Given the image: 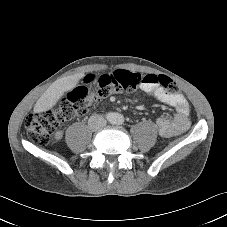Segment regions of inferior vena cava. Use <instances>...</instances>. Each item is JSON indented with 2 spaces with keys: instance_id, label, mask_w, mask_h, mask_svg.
<instances>
[{
  "instance_id": "602c4592",
  "label": "inferior vena cava",
  "mask_w": 227,
  "mask_h": 227,
  "mask_svg": "<svg viewBox=\"0 0 227 227\" xmlns=\"http://www.w3.org/2000/svg\"><path fill=\"white\" fill-rule=\"evenodd\" d=\"M106 120L101 115L91 116L88 120V125L93 130H98L106 125Z\"/></svg>"
}]
</instances>
